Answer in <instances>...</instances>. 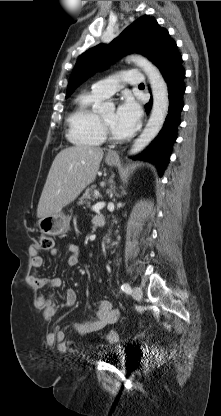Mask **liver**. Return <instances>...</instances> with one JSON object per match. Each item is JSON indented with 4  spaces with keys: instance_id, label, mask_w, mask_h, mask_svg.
Wrapping results in <instances>:
<instances>
[{
    "instance_id": "obj_1",
    "label": "liver",
    "mask_w": 221,
    "mask_h": 416,
    "mask_svg": "<svg viewBox=\"0 0 221 416\" xmlns=\"http://www.w3.org/2000/svg\"><path fill=\"white\" fill-rule=\"evenodd\" d=\"M99 147L76 145L61 150L49 170L37 207V217L56 213L72 203L91 184L103 158Z\"/></svg>"
}]
</instances>
